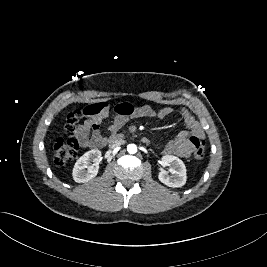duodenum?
<instances>
[{
    "label": "duodenum",
    "instance_id": "obj_1",
    "mask_svg": "<svg viewBox=\"0 0 267 267\" xmlns=\"http://www.w3.org/2000/svg\"><path fill=\"white\" fill-rule=\"evenodd\" d=\"M122 140H123V137L121 135H113L109 138L108 142L112 146V149H113V148H116L122 142ZM142 141L145 144L149 143V139L146 137H144Z\"/></svg>",
    "mask_w": 267,
    "mask_h": 267
}]
</instances>
